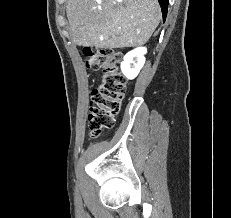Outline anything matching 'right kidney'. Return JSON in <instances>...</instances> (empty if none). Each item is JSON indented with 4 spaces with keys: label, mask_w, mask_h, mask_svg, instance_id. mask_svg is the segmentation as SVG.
<instances>
[{
    "label": "right kidney",
    "mask_w": 231,
    "mask_h": 218,
    "mask_svg": "<svg viewBox=\"0 0 231 218\" xmlns=\"http://www.w3.org/2000/svg\"><path fill=\"white\" fill-rule=\"evenodd\" d=\"M147 53L145 47L136 48L124 56L121 70L128 79H134L145 63L144 55Z\"/></svg>",
    "instance_id": "1"
}]
</instances>
